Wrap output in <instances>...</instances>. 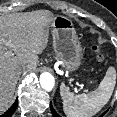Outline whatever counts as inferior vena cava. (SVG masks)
I'll return each mask as SVG.
<instances>
[{
    "label": "inferior vena cava",
    "mask_w": 117,
    "mask_h": 117,
    "mask_svg": "<svg viewBox=\"0 0 117 117\" xmlns=\"http://www.w3.org/2000/svg\"><path fill=\"white\" fill-rule=\"evenodd\" d=\"M25 71H26V68H20V69L18 70L19 74H21V73H23V72H25Z\"/></svg>",
    "instance_id": "inferior-vena-cava-1"
}]
</instances>
